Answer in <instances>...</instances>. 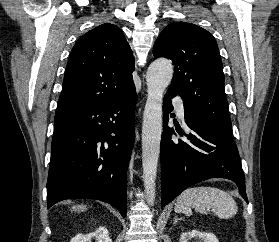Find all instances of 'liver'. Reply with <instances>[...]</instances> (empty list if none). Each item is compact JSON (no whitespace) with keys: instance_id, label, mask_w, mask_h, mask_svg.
<instances>
[{"instance_id":"1","label":"liver","mask_w":279,"mask_h":242,"mask_svg":"<svg viewBox=\"0 0 279 242\" xmlns=\"http://www.w3.org/2000/svg\"><path fill=\"white\" fill-rule=\"evenodd\" d=\"M73 211H84L86 209V206L84 205H75L72 207Z\"/></svg>"}]
</instances>
